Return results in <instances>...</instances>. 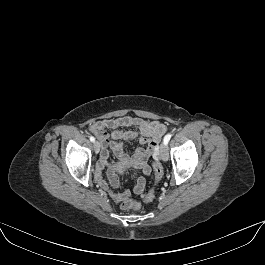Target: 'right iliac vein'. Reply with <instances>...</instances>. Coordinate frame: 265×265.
I'll return each mask as SVG.
<instances>
[{
	"instance_id": "1",
	"label": "right iliac vein",
	"mask_w": 265,
	"mask_h": 265,
	"mask_svg": "<svg viewBox=\"0 0 265 265\" xmlns=\"http://www.w3.org/2000/svg\"><path fill=\"white\" fill-rule=\"evenodd\" d=\"M94 150L96 153L100 151V143L98 141L94 142Z\"/></svg>"
}]
</instances>
